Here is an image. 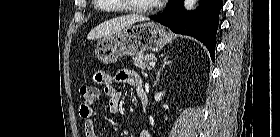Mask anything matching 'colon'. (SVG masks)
<instances>
[{"label":"colon","mask_w":280,"mask_h":137,"mask_svg":"<svg viewBox=\"0 0 280 137\" xmlns=\"http://www.w3.org/2000/svg\"><path fill=\"white\" fill-rule=\"evenodd\" d=\"M79 94L82 100L88 104L94 103L99 97V91L93 85H82Z\"/></svg>","instance_id":"colon-1"}]
</instances>
